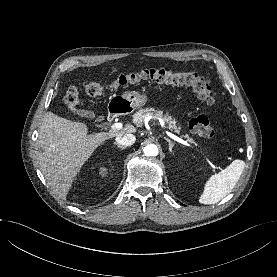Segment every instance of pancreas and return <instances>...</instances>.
Returning <instances> with one entry per match:
<instances>
[{"label":"pancreas","instance_id":"obj_1","mask_svg":"<svg viewBox=\"0 0 277 277\" xmlns=\"http://www.w3.org/2000/svg\"><path fill=\"white\" fill-rule=\"evenodd\" d=\"M149 115H155L160 117L165 122V124H167V128L171 131H174L178 134L181 132V127L177 126V123L175 119L172 118V116L164 114L163 111L156 110L154 108H145L139 110L133 115V122L138 126H142L145 118ZM183 137L187 138L189 141L194 143L193 139H190L188 135H184Z\"/></svg>","mask_w":277,"mask_h":277}]
</instances>
